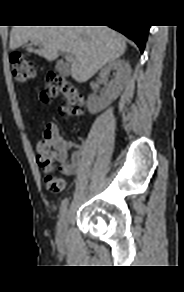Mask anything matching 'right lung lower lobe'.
Listing matches in <instances>:
<instances>
[{"mask_svg": "<svg viewBox=\"0 0 184 292\" xmlns=\"http://www.w3.org/2000/svg\"><path fill=\"white\" fill-rule=\"evenodd\" d=\"M110 27L121 32L129 39L133 40L138 45L141 52H143L150 26L147 25L129 26L121 24L116 26L110 25Z\"/></svg>", "mask_w": 184, "mask_h": 292, "instance_id": "obj_1", "label": "right lung lower lobe"}]
</instances>
